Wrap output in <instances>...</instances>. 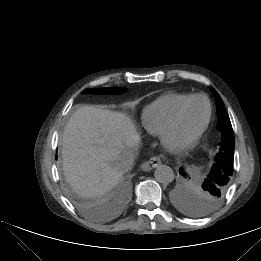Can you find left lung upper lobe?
Wrapping results in <instances>:
<instances>
[{
    "mask_svg": "<svg viewBox=\"0 0 261 261\" xmlns=\"http://www.w3.org/2000/svg\"><path fill=\"white\" fill-rule=\"evenodd\" d=\"M211 91L216 101L218 129L221 132L222 139L220 142L221 149L217 154L216 164L210 175L205 178L197 197L184 204L183 209L195 216L207 215L219 206L226 195L232 176V173H229L226 167L222 166L221 160L233 164L234 132L221 97L214 89H211Z\"/></svg>",
    "mask_w": 261,
    "mask_h": 261,
    "instance_id": "obj_1",
    "label": "left lung upper lobe"
}]
</instances>
